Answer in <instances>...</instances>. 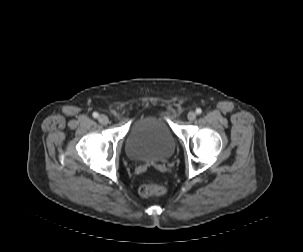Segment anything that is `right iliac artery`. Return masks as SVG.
I'll return each instance as SVG.
<instances>
[{
  "label": "right iliac artery",
  "instance_id": "1",
  "mask_svg": "<svg viewBox=\"0 0 303 252\" xmlns=\"http://www.w3.org/2000/svg\"><path fill=\"white\" fill-rule=\"evenodd\" d=\"M98 116H99V114H98L97 112H94V113H93V117H94V118H97Z\"/></svg>",
  "mask_w": 303,
  "mask_h": 252
}]
</instances>
